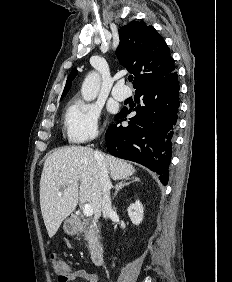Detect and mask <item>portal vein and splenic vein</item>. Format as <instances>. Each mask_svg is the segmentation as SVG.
<instances>
[{
  "instance_id": "1",
  "label": "portal vein and splenic vein",
  "mask_w": 232,
  "mask_h": 282,
  "mask_svg": "<svg viewBox=\"0 0 232 282\" xmlns=\"http://www.w3.org/2000/svg\"><path fill=\"white\" fill-rule=\"evenodd\" d=\"M83 213L86 217H91L93 215V208L90 204H85L83 207Z\"/></svg>"
}]
</instances>
